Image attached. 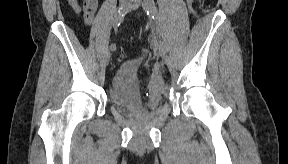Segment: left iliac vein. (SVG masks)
<instances>
[{
    "label": "left iliac vein",
    "mask_w": 288,
    "mask_h": 164,
    "mask_svg": "<svg viewBox=\"0 0 288 164\" xmlns=\"http://www.w3.org/2000/svg\"><path fill=\"white\" fill-rule=\"evenodd\" d=\"M155 35V33H154ZM159 51H160V55L162 57V60L165 61L166 60V46L164 43L159 45Z\"/></svg>",
    "instance_id": "1"
}]
</instances>
